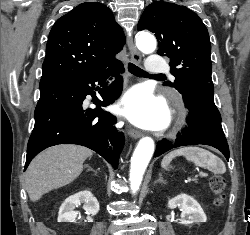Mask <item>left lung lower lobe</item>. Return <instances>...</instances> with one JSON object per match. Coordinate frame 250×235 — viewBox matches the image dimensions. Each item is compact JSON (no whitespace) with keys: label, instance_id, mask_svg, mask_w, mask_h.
<instances>
[{"label":"left lung lower lobe","instance_id":"0a47b994","mask_svg":"<svg viewBox=\"0 0 250 235\" xmlns=\"http://www.w3.org/2000/svg\"><path fill=\"white\" fill-rule=\"evenodd\" d=\"M213 83L193 84L181 94L189 110L188 126L174 143L158 142L155 157L180 146L204 144L220 150L229 160V147L222 126L221 115L215 106Z\"/></svg>","mask_w":250,"mask_h":235}]
</instances>
